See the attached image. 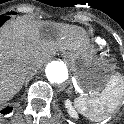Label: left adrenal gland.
Listing matches in <instances>:
<instances>
[{
  "mask_svg": "<svg viewBox=\"0 0 124 124\" xmlns=\"http://www.w3.org/2000/svg\"><path fill=\"white\" fill-rule=\"evenodd\" d=\"M68 93H69V94H71V91H70V90H68Z\"/></svg>",
  "mask_w": 124,
  "mask_h": 124,
  "instance_id": "left-adrenal-gland-1",
  "label": "left adrenal gland"
}]
</instances>
